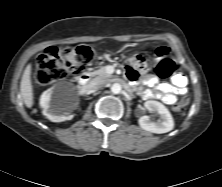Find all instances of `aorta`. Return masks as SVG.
<instances>
[{"instance_id": "1", "label": "aorta", "mask_w": 222, "mask_h": 187, "mask_svg": "<svg viewBox=\"0 0 222 187\" xmlns=\"http://www.w3.org/2000/svg\"><path fill=\"white\" fill-rule=\"evenodd\" d=\"M122 90V87L119 83H114L111 85V92L113 94H119Z\"/></svg>"}]
</instances>
